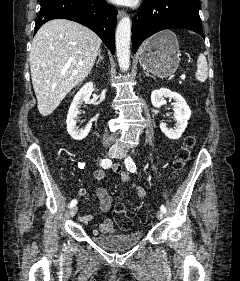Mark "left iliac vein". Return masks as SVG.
Listing matches in <instances>:
<instances>
[{
	"mask_svg": "<svg viewBox=\"0 0 240 281\" xmlns=\"http://www.w3.org/2000/svg\"><path fill=\"white\" fill-rule=\"evenodd\" d=\"M114 157L118 158V159H124L126 157V152L123 149H120ZM156 217H157L158 220H162L163 219V212L157 211Z\"/></svg>",
	"mask_w": 240,
	"mask_h": 281,
	"instance_id": "obj_1",
	"label": "left iliac vein"
}]
</instances>
